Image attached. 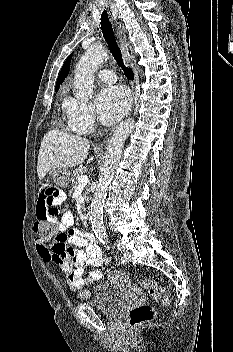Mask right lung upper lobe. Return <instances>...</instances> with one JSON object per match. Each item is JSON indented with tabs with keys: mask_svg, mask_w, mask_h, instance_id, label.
Listing matches in <instances>:
<instances>
[{
	"mask_svg": "<svg viewBox=\"0 0 233 352\" xmlns=\"http://www.w3.org/2000/svg\"><path fill=\"white\" fill-rule=\"evenodd\" d=\"M71 58H72V54H70L67 57L66 61L64 62L62 69L60 71V74L58 76V79H57L55 90L59 89L60 84H62V82L64 81V79L67 77V75L69 73Z\"/></svg>",
	"mask_w": 233,
	"mask_h": 352,
	"instance_id": "obj_1",
	"label": "right lung upper lobe"
}]
</instances>
